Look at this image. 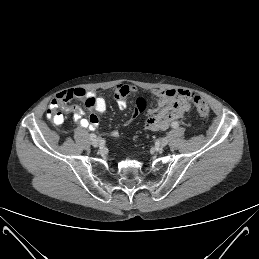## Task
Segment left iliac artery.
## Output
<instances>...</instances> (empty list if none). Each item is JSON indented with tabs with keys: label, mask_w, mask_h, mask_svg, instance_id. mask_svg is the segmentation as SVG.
<instances>
[{
	"label": "left iliac artery",
	"mask_w": 259,
	"mask_h": 259,
	"mask_svg": "<svg viewBox=\"0 0 259 259\" xmlns=\"http://www.w3.org/2000/svg\"><path fill=\"white\" fill-rule=\"evenodd\" d=\"M171 126H172V128H178L179 124H178V122H173L171 124Z\"/></svg>",
	"instance_id": "1"
}]
</instances>
